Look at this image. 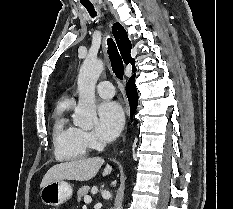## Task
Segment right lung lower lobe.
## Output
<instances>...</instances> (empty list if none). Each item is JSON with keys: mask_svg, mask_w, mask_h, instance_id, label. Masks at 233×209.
Segmentation results:
<instances>
[{"mask_svg": "<svg viewBox=\"0 0 233 209\" xmlns=\"http://www.w3.org/2000/svg\"><path fill=\"white\" fill-rule=\"evenodd\" d=\"M135 74L130 78L126 85V95L128 97L130 106H131V116L133 115V111L136 110L137 104H138V98H137V90L135 87Z\"/></svg>", "mask_w": 233, "mask_h": 209, "instance_id": "right-lung-lower-lobe-1", "label": "right lung lower lobe"}]
</instances>
